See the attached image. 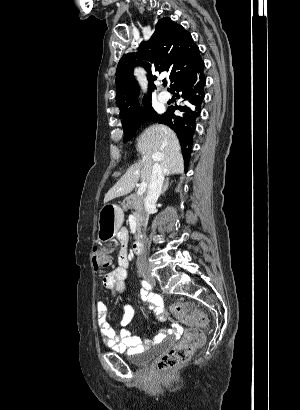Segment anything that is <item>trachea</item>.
I'll return each mask as SVG.
<instances>
[{
    "instance_id": "3493384b",
    "label": "trachea",
    "mask_w": 300,
    "mask_h": 410,
    "mask_svg": "<svg viewBox=\"0 0 300 410\" xmlns=\"http://www.w3.org/2000/svg\"><path fill=\"white\" fill-rule=\"evenodd\" d=\"M163 85L166 86V85H167V81H163Z\"/></svg>"
}]
</instances>
